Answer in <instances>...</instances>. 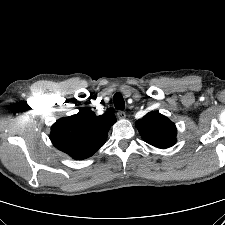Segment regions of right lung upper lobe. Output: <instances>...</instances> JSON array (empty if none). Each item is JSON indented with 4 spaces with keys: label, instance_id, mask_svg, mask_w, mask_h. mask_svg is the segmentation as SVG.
Instances as JSON below:
<instances>
[{
    "label": "right lung upper lobe",
    "instance_id": "right-lung-upper-lobe-1",
    "mask_svg": "<svg viewBox=\"0 0 225 225\" xmlns=\"http://www.w3.org/2000/svg\"><path fill=\"white\" fill-rule=\"evenodd\" d=\"M116 122L112 112L96 116L91 110L61 118L51 128L53 145L74 159L82 160L92 156L107 139V132Z\"/></svg>",
    "mask_w": 225,
    "mask_h": 225
}]
</instances>
